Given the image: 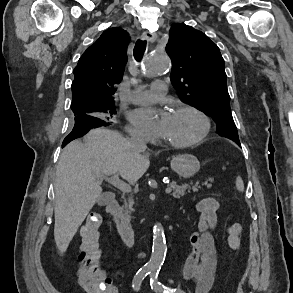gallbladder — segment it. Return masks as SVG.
<instances>
[{
    "label": "gallbladder",
    "mask_w": 293,
    "mask_h": 293,
    "mask_svg": "<svg viewBox=\"0 0 293 293\" xmlns=\"http://www.w3.org/2000/svg\"><path fill=\"white\" fill-rule=\"evenodd\" d=\"M98 205L102 206L106 204V195L102 194L98 200H97Z\"/></svg>",
    "instance_id": "gallbladder-1"
}]
</instances>
